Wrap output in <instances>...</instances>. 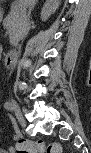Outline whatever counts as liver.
<instances>
[{"instance_id":"obj_1","label":"liver","mask_w":91,"mask_h":153,"mask_svg":"<svg viewBox=\"0 0 91 153\" xmlns=\"http://www.w3.org/2000/svg\"><path fill=\"white\" fill-rule=\"evenodd\" d=\"M49 2L51 5H54L56 8L59 5V1L57 0H50L47 1ZM27 5H29V0H20L19 2V8L24 12V9L27 7Z\"/></svg>"}]
</instances>
